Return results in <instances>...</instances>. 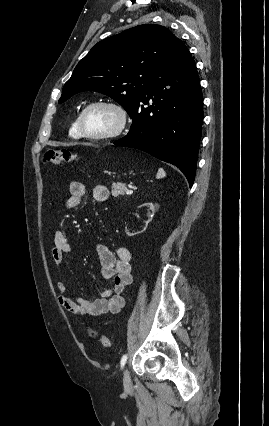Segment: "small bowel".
I'll return each instance as SVG.
<instances>
[{
	"label": "small bowel",
	"mask_w": 269,
	"mask_h": 426,
	"mask_svg": "<svg viewBox=\"0 0 269 426\" xmlns=\"http://www.w3.org/2000/svg\"><path fill=\"white\" fill-rule=\"evenodd\" d=\"M86 186L78 181H73L69 185V196L64 202V210L69 211L78 207L86 194ZM93 199L97 202H104L109 198L107 187L98 185L92 189ZM72 253V246L62 231H57L54 235V246L51 250L53 263L62 268L67 255ZM97 253L101 263V276L106 280H112L108 289L99 293L93 299H86L76 295L67 296L68 285L64 281L57 283L58 303L66 310L90 316H101L107 313H119L125 306L123 290L128 287L133 279L131 269V252L126 247H119L114 252L102 242L97 244Z\"/></svg>",
	"instance_id": "obj_1"
}]
</instances>
